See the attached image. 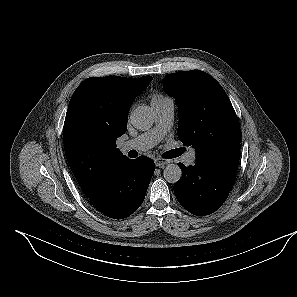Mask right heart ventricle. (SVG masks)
Returning a JSON list of instances; mask_svg holds the SVG:
<instances>
[{
	"label": "right heart ventricle",
	"mask_w": 297,
	"mask_h": 297,
	"mask_svg": "<svg viewBox=\"0 0 297 297\" xmlns=\"http://www.w3.org/2000/svg\"><path fill=\"white\" fill-rule=\"evenodd\" d=\"M163 98H165V96L158 94V95L153 96L152 101L161 100Z\"/></svg>",
	"instance_id": "1"
}]
</instances>
